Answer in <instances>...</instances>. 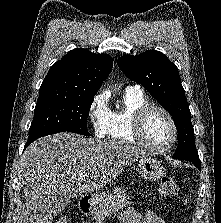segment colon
Returning <instances> with one entry per match:
<instances>
[{"mask_svg": "<svg viewBox=\"0 0 221 223\" xmlns=\"http://www.w3.org/2000/svg\"><path fill=\"white\" fill-rule=\"evenodd\" d=\"M159 194L163 198H172L178 194V186L169 177H163L159 185ZM56 223H70L69 218L63 216L57 219Z\"/></svg>", "mask_w": 221, "mask_h": 223, "instance_id": "colon-1", "label": "colon"}]
</instances>
